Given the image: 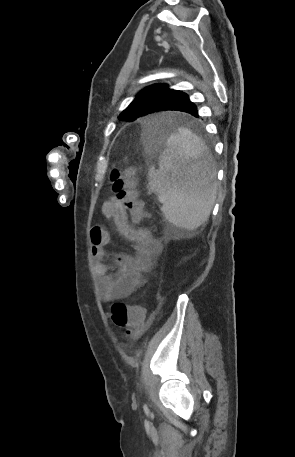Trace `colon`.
<instances>
[{"label":"colon","mask_w":295,"mask_h":457,"mask_svg":"<svg viewBox=\"0 0 295 457\" xmlns=\"http://www.w3.org/2000/svg\"><path fill=\"white\" fill-rule=\"evenodd\" d=\"M112 191L126 212H129L135 222L145 218L142 202L137 197L134 182V170L131 167L113 169L110 174ZM113 323L124 328L126 335L133 337L143 329L146 321L145 311L138 305H127L116 302L111 307Z\"/></svg>","instance_id":"5ec220e1"}]
</instances>
